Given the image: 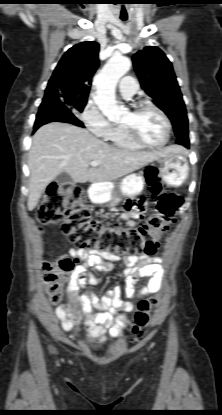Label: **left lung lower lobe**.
I'll use <instances>...</instances> for the list:
<instances>
[{"instance_id":"left-lung-lower-lobe-1","label":"left lung lower lobe","mask_w":222,"mask_h":415,"mask_svg":"<svg viewBox=\"0 0 222 415\" xmlns=\"http://www.w3.org/2000/svg\"><path fill=\"white\" fill-rule=\"evenodd\" d=\"M176 143L189 148V138H178Z\"/></svg>"}]
</instances>
